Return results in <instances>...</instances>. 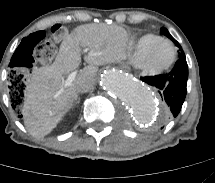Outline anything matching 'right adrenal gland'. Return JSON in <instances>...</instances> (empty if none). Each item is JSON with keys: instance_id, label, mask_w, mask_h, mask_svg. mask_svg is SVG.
<instances>
[{"instance_id": "obj_1", "label": "right adrenal gland", "mask_w": 215, "mask_h": 183, "mask_svg": "<svg viewBox=\"0 0 215 183\" xmlns=\"http://www.w3.org/2000/svg\"><path fill=\"white\" fill-rule=\"evenodd\" d=\"M80 102V98H78V100L76 101V103H79Z\"/></svg>"}]
</instances>
